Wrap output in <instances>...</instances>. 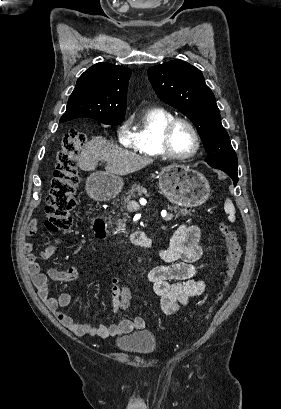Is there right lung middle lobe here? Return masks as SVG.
I'll list each match as a JSON object with an SVG mask.
<instances>
[{
    "instance_id": "obj_1",
    "label": "right lung middle lobe",
    "mask_w": 281,
    "mask_h": 409,
    "mask_svg": "<svg viewBox=\"0 0 281 409\" xmlns=\"http://www.w3.org/2000/svg\"><path fill=\"white\" fill-rule=\"evenodd\" d=\"M98 121L107 125H118L122 123L123 119H100Z\"/></svg>"
}]
</instances>
